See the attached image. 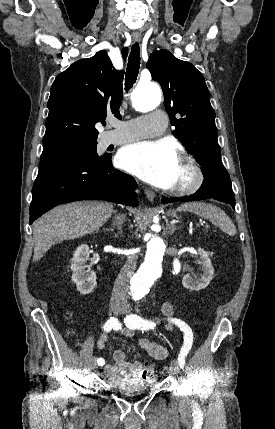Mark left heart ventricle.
I'll list each match as a JSON object with an SVG mask.
<instances>
[{"mask_svg": "<svg viewBox=\"0 0 275 429\" xmlns=\"http://www.w3.org/2000/svg\"><path fill=\"white\" fill-rule=\"evenodd\" d=\"M187 178H188V172L184 168V166L179 162L177 174H176V180L173 186L182 184L187 180Z\"/></svg>", "mask_w": 275, "mask_h": 429, "instance_id": "1", "label": "left heart ventricle"}]
</instances>
